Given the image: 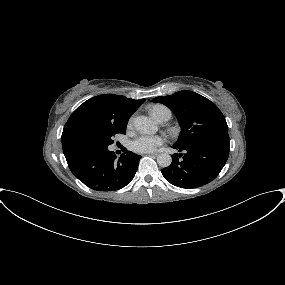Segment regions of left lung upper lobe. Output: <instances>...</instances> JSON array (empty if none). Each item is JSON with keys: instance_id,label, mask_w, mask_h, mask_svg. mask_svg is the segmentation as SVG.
<instances>
[{"instance_id": "1", "label": "left lung upper lobe", "mask_w": 285, "mask_h": 285, "mask_svg": "<svg viewBox=\"0 0 285 285\" xmlns=\"http://www.w3.org/2000/svg\"><path fill=\"white\" fill-rule=\"evenodd\" d=\"M169 107L176 115L181 133L174 146L183 148L200 142L230 144L228 126L219 108L192 91H179L152 100Z\"/></svg>"}]
</instances>
